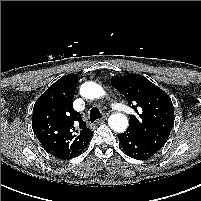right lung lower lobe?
<instances>
[{
  "label": "right lung lower lobe",
  "mask_w": 201,
  "mask_h": 201,
  "mask_svg": "<svg viewBox=\"0 0 201 201\" xmlns=\"http://www.w3.org/2000/svg\"><path fill=\"white\" fill-rule=\"evenodd\" d=\"M91 136H92V135H91ZM91 136H90V137H91ZM90 137H89V138H90ZM89 138L86 140V142H85V144L82 146V148H81L78 152H76L75 154L70 155V156H67V157H58V158H61V159H70V158H72V157H75V156L79 155V154L85 149V147L87 146Z\"/></svg>",
  "instance_id": "right-lung-lower-lobe-1"
}]
</instances>
